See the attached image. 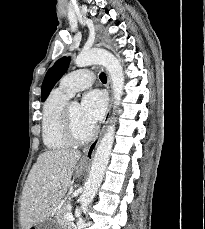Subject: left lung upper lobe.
<instances>
[{
  "mask_svg": "<svg viewBox=\"0 0 205 229\" xmlns=\"http://www.w3.org/2000/svg\"><path fill=\"white\" fill-rule=\"evenodd\" d=\"M69 61V58L63 57L56 61L54 66L48 70L42 84V101H44L48 97L55 83L61 78V76L67 70Z\"/></svg>",
  "mask_w": 205,
  "mask_h": 229,
  "instance_id": "obj_1",
  "label": "left lung upper lobe"
}]
</instances>
